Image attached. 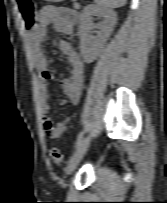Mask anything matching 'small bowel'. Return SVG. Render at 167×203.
<instances>
[{
  "label": "small bowel",
  "instance_id": "1",
  "mask_svg": "<svg viewBox=\"0 0 167 203\" xmlns=\"http://www.w3.org/2000/svg\"><path fill=\"white\" fill-rule=\"evenodd\" d=\"M79 16L74 10L46 6L38 14V24L28 35V43L34 64L39 72V94L42 111V127L45 136L50 139L59 137L67 127L68 118L64 121L54 124L48 116L49 112V83L52 79L49 61L46 57L43 43L45 41L48 26L52 25L54 29L69 37V40L61 41L59 48L68 60V77L61 81V88L66 95V99L61 101V105L70 103L76 105L79 101L82 86L85 78L84 63L75 50L72 38L75 35V26Z\"/></svg>",
  "mask_w": 167,
  "mask_h": 203
}]
</instances>
